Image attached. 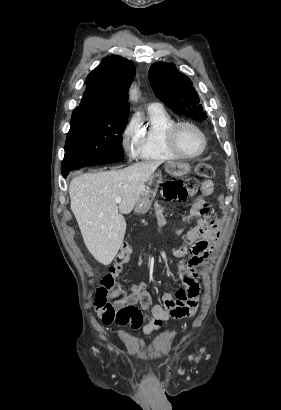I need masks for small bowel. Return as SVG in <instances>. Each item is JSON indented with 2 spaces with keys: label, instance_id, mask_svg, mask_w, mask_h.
Masks as SVG:
<instances>
[{
  "label": "small bowel",
  "instance_id": "obj_1",
  "mask_svg": "<svg viewBox=\"0 0 281 410\" xmlns=\"http://www.w3.org/2000/svg\"><path fill=\"white\" fill-rule=\"evenodd\" d=\"M212 193V183L203 181L200 185V197L192 204L189 214L179 223L168 227L164 215V207L157 203L155 206L157 224L160 229H167L172 236L185 233V242L171 248L175 257L185 258L177 268L178 276L184 288L178 289L173 296L168 291L161 295L163 305H152L147 292V284L141 282L129 289L122 288L118 278L123 271V264L111 265L101 280L95 298V311L102 316L109 310L140 311V323L136 330L142 328L145 334L158 329L162 322L170 318H183L195 313H184L191 300L198 301L199 285L197 268L208 258L218 242L219 229L213 212L207 205L205 198ZM133 322L132 315H129ZM143 319L146 324L143 325Z\"/></svg>",
  "mask_w": 281,
  "mask_h": 410
}]
</instances>
